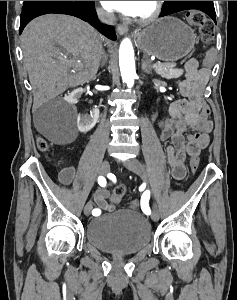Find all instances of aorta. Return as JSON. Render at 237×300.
Listing matches in <instances>:
<instances>
[{"label":"aorta","mask_w":237,"mask_h":300,"mask_svg":"<svg viewBox=\"0 0 237 300\" xmlns=\"http://www.w3.org/2000/svg\"><path fill=\"white\" fill-rule=\"evenodd\" d=\"M119 67L123 83L133 87L136 77L134 51L130 39H124L119 49Z\"/></svg>","instance_id":"obj_1"}]
</instances>
